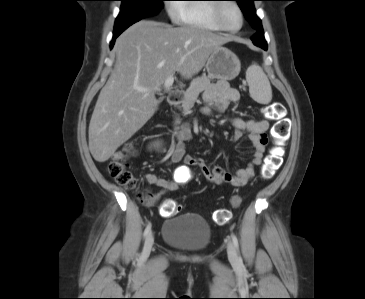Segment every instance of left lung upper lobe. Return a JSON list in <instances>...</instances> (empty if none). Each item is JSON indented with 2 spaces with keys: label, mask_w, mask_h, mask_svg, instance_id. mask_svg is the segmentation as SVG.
Segmentation results:
<instances>
[{
  "label": "left lung upper lobe",
  "mask_w": 365,
  "mask_h": 299,
  "mask_svg": "<svg viewBox=\"0 0 365 299\" xmlns=\"http://www.w3.org/2000/svg\"><path fill=\"white\" fill-rule=\"evenodd\" d=\"M238 2L239 7L244 13L249 24L258 32L263 31L261 20L255 13L253 2L256 0H235Z\"/></svg>",
  "instance_id": "left-lung-upper-lobe-1"
}]
</instances>
